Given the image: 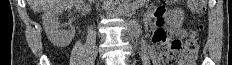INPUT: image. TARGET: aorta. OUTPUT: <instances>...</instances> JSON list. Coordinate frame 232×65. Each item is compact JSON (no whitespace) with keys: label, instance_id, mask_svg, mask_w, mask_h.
Listing matches in <instances>:
<instances>
[{"label":"aorta","instance_id":"762f6f07","mask_svg":"<svg viewBox=\"0 0 232 65\" xmlns=\"http://www.w3.org/2000/svg\"><path fill=\"white\" fill-rule=\"evenodd\" d=\"M123 2H124V3H128V2H129V0H123Z\"/></svg>","mask_w":232,"mask_h":65}]
</instances>
